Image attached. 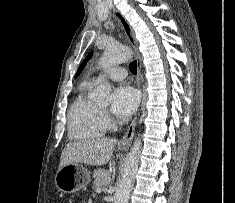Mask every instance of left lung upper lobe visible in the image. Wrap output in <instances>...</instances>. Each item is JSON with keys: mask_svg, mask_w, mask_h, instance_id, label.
Here are the masks:
<instances>
[{"mask_svg": "<svg viewBox=\"0 0 235 203\" xmlns=\"http://www.w3.org/2000/svg\"><path fill=\"white\" fill-rule=\"evenodd\" d=\"M92 56V53H90L87 57H86V59L83 61V63L81 64V66H80V68L78 69V72H77V75L76 76H78L80 73H81V71L83 70V68H84V66H85V64H86V62L89 60V58Z\"/></svg>", "mask_w": 235, "mask_h": 203, "instance_id": "5c2ea615", "label": "left lung upper lobe"}]
</instances>
